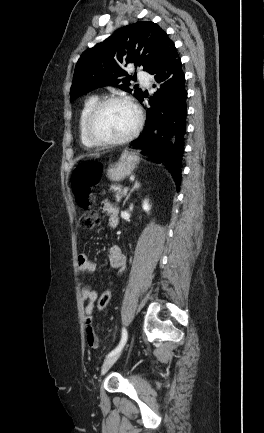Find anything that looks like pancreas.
<instances>
[{
	"label": "pancreas",
	"instance_id": "pancreas-1",
	"mask_svg": "<svg viewBox=\"0 0 264 433\" xmlns=\"http://www.w3.org/2000/svg\"><path fill=\"white\" fill-rule=\"evenodd\" d=\"M125 192L123 191V187L122 186H118L115 189V198L117 200V202H120V200L122 199V197L125 196Z\"/></svg>",
	"mask_w": 264,
	"mask_h": 433
}]
</instances>
